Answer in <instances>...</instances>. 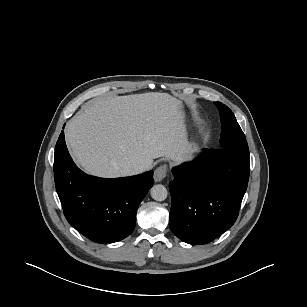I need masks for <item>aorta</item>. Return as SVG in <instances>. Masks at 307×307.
Returning <instances> with one entry per match:
<instances>
[{
	"mask_svg": "<svg viewBox=\"0 0 307 307\" xmlns=\"http://www.w3.org/2000/svg\"><path fill=\"white\" fill-rule=\"evenodd\" d=\"M150 193L151 197L156 201H164L168 196L166 187L161 184L154 185L151 188Z\"/></svg>",
	"mask_w": 307,
	"mask_h": 307,
	"instance_id": "1",
	"label": "aorta"
}]
</instances>
